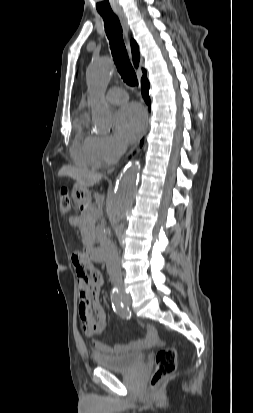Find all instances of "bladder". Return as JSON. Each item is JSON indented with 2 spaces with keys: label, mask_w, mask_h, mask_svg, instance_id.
Returning <instances> with one entry per match:
<instances>
[{
  "label": "bladder",
  "mask_w": 253,
  "mask_h": 413,
  "mask_svg": "<svg viewBox=\"0 0 253 413\" xmlns=\"http://www.w3.org/2000/svg\"><path fill=\"white\" fill-rule=\"evenodd\" d=\"M93 361L99 367L125 372L141 366L145 361L143 352H127L117 355H95Z\"/></svg>",
  "instance_id": "bladder-1"
}]
</instances>
